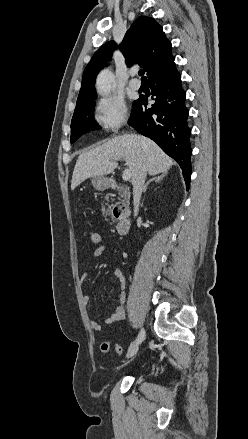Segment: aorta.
<instances>
[{"instance_id":"762f6f07","label":"aorta","mask_w":248,"mask_h":439,"mask_svg":"<svg viewBox=\"0 0 248 439\" xmlns=\"http://www.w3.org/2000/svg\"><path fill=\"white\" fill-rule=\"evenodd\" d=\"M115 82L114 74L109 69L102 70L96 81L97 91L103 96L110 95Z\"/></svg>"}]
</instances>
